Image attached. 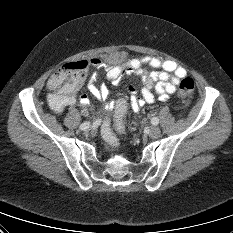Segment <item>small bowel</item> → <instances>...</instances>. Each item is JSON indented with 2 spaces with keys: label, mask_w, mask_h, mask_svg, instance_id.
I'll return each mask as SVG.
<instances>
[{
  "label": "small bowel",
  "mask_w": 233,
  "mask_h": 233,
  "mask_svg": "<svg viewBox=\"0 0 233 233\" xmlns=\"http://www.w3.org/2000/svg\"><path fill=\"white\" fill-rule=\"evenodd\" d=\"M90 65L103 69L112 84H117L123 76H138L143 85L140 95L137 90L130 86L127 97L133 110H138L145 104L153 103L156 99L164 101L176 90L180 79L185 77L186 69L174 61L162 60L157 57L143 56L128 60L122 52H115L103 58H93ZM150 66L154 70L145 72L144 67ZM83 84V83H82ZM82 84L73 91L59 88L53 83V75L47 81V87L52 91L48 97V105L55 113H62L67 107L74 105L77 101L84 106L83 114L88 113L87 106L90 105L89 97L79 91ZM89 92L98 100L104 101L108 98L109 90L104 85H95L93 80L88 83ZM113 103H110L111 107Z\"/></svg>",
  "instance_id": "small-bowel-1"
}]
</instances>
